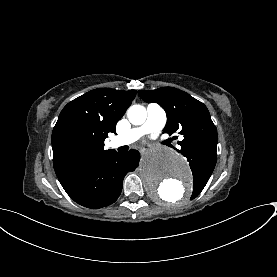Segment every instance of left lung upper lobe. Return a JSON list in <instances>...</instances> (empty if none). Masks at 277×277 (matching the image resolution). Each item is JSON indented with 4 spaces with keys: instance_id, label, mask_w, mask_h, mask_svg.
Returning <instances> with one entry per match:
<instances>
[{
    "instance_id": "5c2ea615",
    "label": "left lung upper lobe",
    "mask_w": 277,
    "mask_h": 277,
    "mask_svg": "<svg viewBox=\"0 0 277 277\" xmlns=\"http://www.w3.org/2000/svg\"><path fill=\"white\" fill-rule=\"evenodd\" d=\"M138 94L145 102H156L165 109L167 124L163 132L169 135L178 132L183 135L184 139L178 142L181 151L204 145H217L216 127L202 102L173 87L140 90ZM212 172V168L202 165L192 170L194 185L191 199L200 194Z\"/></svg>"
}]
</instances>
